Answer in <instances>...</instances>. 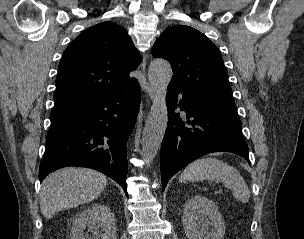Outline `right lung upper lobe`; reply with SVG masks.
I'll return each instance as SVG.
<instances>
[{
    "instance_id": "1",
    "label": "right lung upper lobe",
    "mask_w": 304,
    "mask_h": 239,
    "mask_svg": "<svg viewBox=\"0 0 304 239\" xmlns=\"http://www.w3.org/2000/svg\"><path fill=\"white\" fill-rule=\"evenodd\" d=\"M140 62L122 26L107 21L88 28L63 53L51 116L76 110L133 81L129 73Z\"/></svg>"
}]
</instances>
